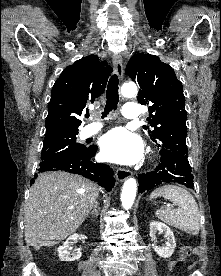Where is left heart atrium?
<instances>
[{"instance_id": "39dd6f15", "label": "left heart atrium", "mask_w": 221, "mask_h": 276, "mask_svg": "<svg viewBox=\"0 0 221 276\" xmlns=\"http://www.w3.org/2000/svg\"><path fill=\"white\" fill-rule=\"evenodd\" d=\"M100 147L104 160L119 164H134L143 153L140 138L122 127L106 133L101 139Z\"/></svg>"}]
</instances>
